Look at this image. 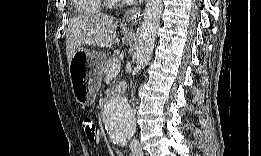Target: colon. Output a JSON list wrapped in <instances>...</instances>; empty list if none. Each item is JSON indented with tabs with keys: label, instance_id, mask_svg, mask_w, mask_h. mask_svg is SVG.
Here are the masks:
<instances>
[{
	"label": "colon",
	"instance_id": "obj_1",
	"mask_svg": "<svg viewBox=\"0 0 261 156\" xmlns=\"http://www.w3.org/2000/svg\"><path fill=\"white\" fill-rule=\"evenodd\" d=\"M81 128L89 143H94L97 139V127L94 120L90 116H84L81 119Z\"/></svg>",
	"mask_w": 261,
	"mask_h": 156
}]
</instances>
